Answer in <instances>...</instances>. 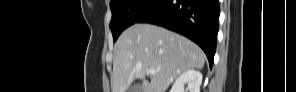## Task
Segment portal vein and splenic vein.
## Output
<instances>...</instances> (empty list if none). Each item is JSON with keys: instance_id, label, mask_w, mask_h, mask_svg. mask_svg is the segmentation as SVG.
<instances>
[{"instance_id": "18ae733b", "label": "portal vein and splenic vein", "mask_w": 296, "mask_h": 92, "mask_svg": "<svg viewBox=\"0 0 296 92\" xmlns=\"http://www.w3.org/2000/svg\"><path fill=\"white\" fill-rule=\"evenodd\" d=\"M148 73H149V74H155V73H156V70H155V69H149V70H148Z\"/></svg>"}]
</instances>
